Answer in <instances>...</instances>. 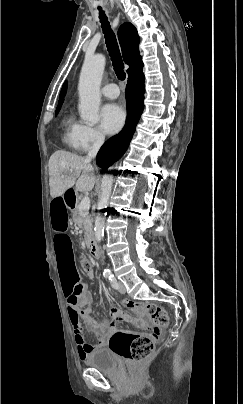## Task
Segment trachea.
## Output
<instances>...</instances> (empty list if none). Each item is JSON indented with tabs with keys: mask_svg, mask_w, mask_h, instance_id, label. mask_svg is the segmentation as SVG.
Instances as JSON below:
<instances>
[{
	"mask_svg": "<svg viewBox=\"0 0 243 404\" xmlns=\"http://www.w3.org/2000/svg\"><path fill=\"white\" fill-rule=\"evenodd\" d=\"M98 9H99L101 27H102L103 33L105 35L107 50L111 57L115 74L117 75L119 80L123 81L125 79L126 75L124 72V65H123V61H122V57H121V53L119 50L116 36L111 29V26L108 22L107 16L105 15V12L102 10L101 7H98Z\"/></svg>",
	"mask_w": 243,
	"mask_h": 404,
	"instance_id": "1",
	"label": "trachea"
}]
</instances>
